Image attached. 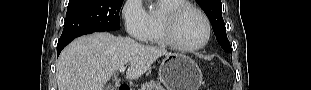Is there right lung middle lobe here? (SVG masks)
Returning <instances> with one entry per match:
<instances>
[{"instance_id":"obj_1","label":"right lung middle lobe","mask_w":311,"mask_h":90,"mask_svg":"<svg viewBox=\"0 0 311 90\" xmlns=\"http://www.w3.org/2000/svg\"><path fill=\"white\" fill-rule=\"evenodd\" d=\"M123 0H69L66 20L58 42L77 36L120 29Z\"/></svg>"}]
</instances>
